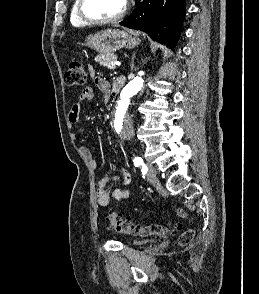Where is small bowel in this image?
Returning <instances> with one entry per match:
<instances>
[{
    "label": "small bowel",
    "mask_w": 259,
    "mask_h": 294,
    "mask_svg": "<svg viewBox=\"0 0 259 294\" xmlns=\"http://www.w3.org/2000/svg\"><path fill=\"white\" fill-rule=\"evenodd\" d=\"M91 75L94 77V82L97 88L103 93L104 100L107 102L113 93V88L111 87L110 83L102 78L95 76L94 70L90 69ZM94 89L90 86H87L82 89L79 94V98L77 102L72 106L68 113V120L70 123L77 122L82 105L85 102H88L94 98ZM75 137V134H73ZM80 152L89 160L90 164L94 169L98 168L97 162L93 156L91 149L86 146L82 145L79 147ZM130 173L127 170H122L118 174L109 175L102 177L97 184V202L100 206H107L112 199L115 200H124L129 197L128 190L122 188H114L110 189L109 184L111 182H115L118 184H128L130 182Z\"/></svg>",
    "instance_id": "c3829d8e"
}]
</instances>
